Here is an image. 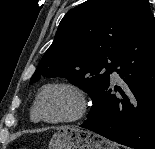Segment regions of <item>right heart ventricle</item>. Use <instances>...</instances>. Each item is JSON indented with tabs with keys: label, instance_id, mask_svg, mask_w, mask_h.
<instances>
[{
	"label": "right heart ventricle",
	"instance_id": "e07e8e85",
	"mask_svg": "<svg viewBox=\"0 0 155 149\" xmlns=\"http://www.w3.org/2000/svg\"><path fill=\"white\" fill-rule=\"evenodd\" d=\"M31 119L33 122H39L40 120L37 118L36 114L33 112V110L31 111Z\"/></svg>",
	"mask_w": 155,
	"mask_h": 149
}]
</instances>
